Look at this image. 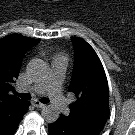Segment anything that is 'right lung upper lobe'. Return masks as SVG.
<instances>
[{"label": "right lung upper lobe", "mask_w": 135, "mask_h": 135, "mask_svg": "<svg viewBox=\"0 0 135 135\" xmlns=\"http://www.w3.org/2000/svg\"><path fill=\"white\" fill-rule=\"evenodd\" d=\"M40 40L9 35L0 40V124L13 122L21 115L26 101L9 94L18 77L25 52Z\"/></svg>", "instance_id": "cb5924a9"}]
</instances>
